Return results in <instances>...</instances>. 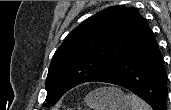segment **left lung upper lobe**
Returning <instances> with one entry per match:
<instances>
[{"mask_svg":"<svg viewBox=\"0 0 171 110\" xmlns=\"http://www.w3.org/2000/svg\"><path fill=\"white\" fill-rule=\"evenodd\" d=\"M149 30L134 7L111 6L82 22L53 55L43 106L56 104L71 88L94 81L116 66Z\"/></svg>","mask_w":171,"mask_h":110,"instance_id":"left-lung-upper-lobe-1","label":"left lung upper lobe"}]
</instances>
